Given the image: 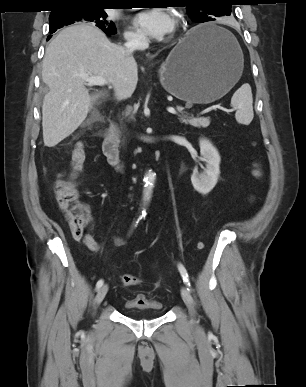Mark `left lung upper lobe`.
Returning <instances> with one entry per match:
<instances>
[{
	"label": "left lung upper lobe",
	"mask_w": 306,
	"mask_h": 387,
	"mask_svg": "<svg viewBox=\"0 0 306 387\" xmlns=\"http://www.w3.org/2000/svg\"><path fill=\"white\" fill-rule=\"evenodd\" d=\"M231 0H182L189 17L198 23L215 20L231 14Z\"/></svg>",
	"instance_id": "1"
}]
</instances>
